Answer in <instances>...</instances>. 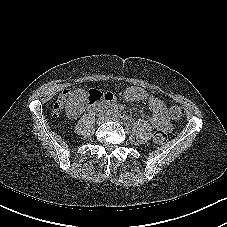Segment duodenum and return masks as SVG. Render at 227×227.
I'll return each mask as SVG.
<instances>
[{"label": "duodenum", "instance_id": "duodenum-1", "mask_svg": "<svg viewBox=\"0 0 227 227\" xmlns=\"http://www.w3.org/2000/svg\"><path fill=\"white\" fill-rule=\"evenodd\" d=\"M86 101L93 108L103 105L108 106L114 108V114L119 115L120 117H126V115L123 113L122 107L117 106L114 97L110 94H102L98 90H92L87 94Z\"/></svg>", "mask_w": 227, "mask_h": 227}]
</instances>
